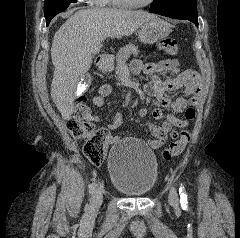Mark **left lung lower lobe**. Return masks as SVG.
Instances as JSON below:
<instances>
[{
	"label": "left lung lower lobe",
	"mask_w": 240,
	"mask_h": 238,
	"mask_svg": "<svg viewBox=\"0 0 240 238\" xmlns=\"http://www.w3.org/2000/svg\"><path fill=\"white\" fill-rule=\"evenodd\" d=\"M150 11L170 18L189 20L198 26L197 6L169 5L156 9L151 8Z\"/></svg>",
	"instance_id": "left-lung-lower-lobe-1"
}]
</instances>
